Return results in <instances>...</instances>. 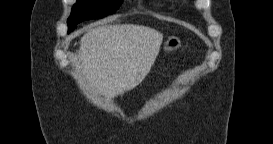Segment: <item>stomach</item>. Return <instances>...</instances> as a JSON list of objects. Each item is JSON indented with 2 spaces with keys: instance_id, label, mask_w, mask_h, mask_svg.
<instances>
[{
  "instance_id": "stomach-1",
  "label": "stomach",
  "mask_w": 273,
  "mask_h": 144,
  "mask_svg": "<svg viewBox=\"0 0 273 144\" xmlns=\"http://www.w3.org/2000/svg\"><path fill=\"white\" fill-rule=\"evenodd\" d=\"M179 47H181V40L174 36L169 37L164 44V50L168 53L176 51Z\"/></svg>"
}]
</instances>
